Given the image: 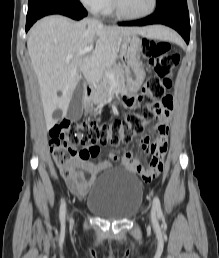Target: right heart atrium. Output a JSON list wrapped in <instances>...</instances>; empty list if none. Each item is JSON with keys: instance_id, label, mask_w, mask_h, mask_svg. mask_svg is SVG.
<instances>
[{"instance_id": "right-heart-atrium-1", "label": "right heart atrium", "mask_w": 219, "mask_h": 258, "mask_svg": "<svg viewBox=\"0 0 219 258\" xmlns=\"http://www.w3.org/2000/svg\"><path fill=\"white\" fill-rule=\"evenodd\" d=\"M84 7L93 13L102 12L109 3V0H79Z\"/></svg>"}]
</instances>
